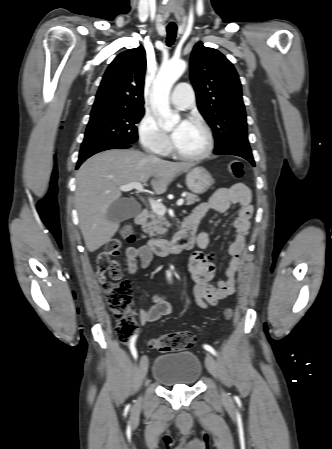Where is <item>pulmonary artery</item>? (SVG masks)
Returning a JSON list of instances; mask_svg holds the SVG:
<instances>
[{
	"label": "pulmonary artery",
	"mask_w": 332,
	"mask_h": 449,
	"mask_svg": "<svg viewBox=\"0 0 332 449\" xmlns=\"http://www.w3.org/2000/svg\"><path fill=\"white\" fill-rule=\"evenodd\" d=\"M195 94L192 86L186 82L178 83L171 96L170 102L179 109H187L194 104Z\"/></svg>",
	"instance_id": "obj_1"
}]
</instances>
